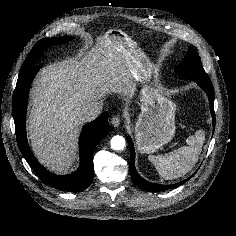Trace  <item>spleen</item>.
Wrapping results in <instances>:
<instances>
[{"mask_svg":"<svg viewBox=\"0 0 236 236\" xmlns=\"http://www.w3.org/2000/svg\"><path fill=\"white\" fill-rule=\"evenodd\" d=\"M188 146L180 147L166 155H150L149 160L159 175L166 180L179 178L193 169L205 142V132L196 131L186 139Z\"/></svg>","mask_w":236,"mask_h":236,"instance_id":"1","label":"spleen"}]
</instances>
